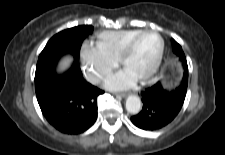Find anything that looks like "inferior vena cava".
<instances>
[{
	"mask_svg": "<svg viewBox=\"0 0 225 155\" xmlns=\"http://www.w3.org/2000/svg\"><path fill=\"white\" fill-rule=\"evenodd\" d=\"M100 78H101V77H95V78L93 79V82H94V83H98L99 80H100Z\"/></svg>",
	"mask_w": 225,
	"mask_h": 155,
	"instance_id": "inferior-vena-cava-1",
	"label": "inferior vena cava"
}]
</instances>
